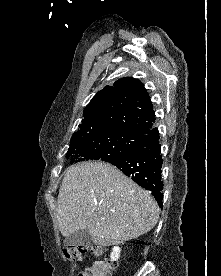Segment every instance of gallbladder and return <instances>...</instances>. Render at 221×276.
Returning <instances> with one entry per match:
<instances>
[{"instance_id":"1","label":"gallbladder","mask_w":221,"mask_h":276,"mask_svg":"<svg viewBox=\"0 0 221 276\" xmlns=\"http://www.w3.org/2000/svg\"><path fill=\"white\" fill-rule=\"evenodd\" d=\"M64 245L66 247H89L92 245V239L89 230H79L69 236L64 240Z\"/></svg>"}]
</instances>
